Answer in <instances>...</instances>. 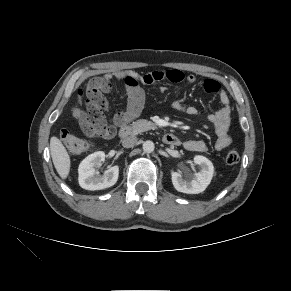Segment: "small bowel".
I'll list each match as a JSON object with an SVG mask.
<instances>
[{"mask_svg":"<svg viewBox=\"0 0 291 291\" xmlns=\"http://www.w3.org/2000/svg\"><path fill=\"white\" fill-rule=\"evenodd\" d=\"M123 81L127 103L125 109L117 112L113 117V123L116 126H122L137 118L143 110L145 104L144 85H151L163 80L173 83H185L187 85L195 82V77L191 74L186 75L180 70L168 71H151L144 74H139L132 70L117 71L112 74H105L101 77H95L90 80L88 87L101 86L104 92L111 90V82L113 79ZM203 87L206 92L218 94L222 108L209 114L208 121L213 125L216 134L215 148L222 150L228 147L231 143L229 127L231 123V107L230 99L227 93L221 89L220 84L213 79H207ZM172 108L178 112L185 113L190 116H195L199 110L194 106L184 104V97L176 99L172 102ZM108 109V103L102 108V121L97 124L89 134L94 137L107 138L113 135L114 127L109 125L103 117V111ZM184 148L188 151L202 152L206 149V145L200 140H187L184 142Z\"/></svg>","mask_w":291,"mask_h":291,"instance_id":"obj_1","label":"small bowel"}]
</instances>
